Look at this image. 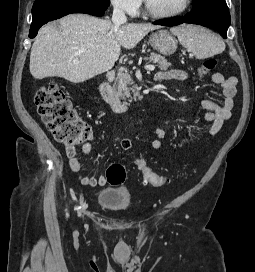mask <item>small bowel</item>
Returning <instances> with one entry per match:
<instances>
[{
    "instance_id": "1",
    "label": "small bowel",
    "mask_w": 255,
    "mask_h": 272,
    "mask_svg": "<svg viewBox=\"0 0 255 272\" xmlns=\"http://www.w3.org/2000/svg\"><path fill=\"white\" fill-rule=\"evenodd\" d=\"M186 79H188V73L178 69L160 71L155 75V80L157 81H184ZM211 82L221 87L224 96V102L222 104L212 99H203L201 102L203 108L208 111L205 115V119L210 122L209 136H214L220 131L224 122L231 116V111L235 106L236 85L238 79L235 76L226 78L221 73L216 72L212 74ZM165 137V130L158 128L155 131V137L150 144L152 149H159L162 146V142ZM117 141L125 151L132 148V141L129 138L117 137ZM92 149L93 147L90 141L85 142L81 147L84 154H90ZM66 155L69 160L70 168L74 172L85 171V168L77 159L75 148H66ZM80 182L83 186L89 187L105 186L107 184V178L104 175H101L98 178L82 175L80 176Z\"/></svg>"
}]
</instances>
